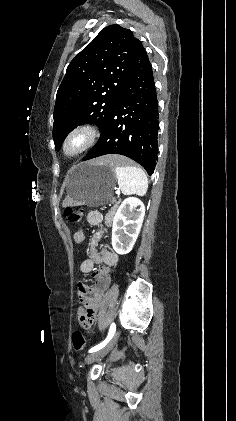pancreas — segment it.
<instances>
[{
  "instance_id": "cf45deb5",
  "label": "pancreas",
  "mask_w": 236,
  "mask_h": 421,
  "mask_svg": "<svg viewBox=\"0 0 236 421\" xmlns=\"http://www.w3.org/2000/svg\"><path fill=\"white\" fill-rule=\"evenodd\" d=\"M118 204L119 202H116V204H114V206H112V208H110V211H108L106 217H105V225H112V221L114 219V215L117 211L118 208Z\"/></svg>"
}]
</instances>
